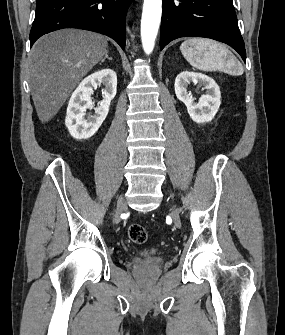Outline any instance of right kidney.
Returning a JSON list of instances; mask_svg holds the SVG:
<instances>
[{
  "label": "right kidney",
  "instance_id": "ca27d5eb",
  "mask_svg": "<svg viewBox=\"0 0 285 335\" xmlns=\"http://www.w3.org/2000/svg\"><path fill=\"white\" fill-rule=\"evenodd\" d=\"M101 84L105 86L102 90L103 104H100L99 108H94L91 94H93V88L101 86ZM116 92L117 76L113 70H100V72H94V74L82 80L69 100L65 120V126L73 138L88 140V138L94 136L103 124ZM86 110H95V114L90 116Z\"/></svg>",
  "mask_w": 285,
  "mask_h": 335
}]
</instances>
